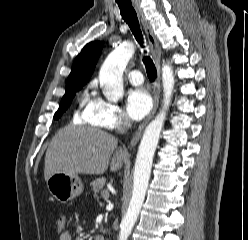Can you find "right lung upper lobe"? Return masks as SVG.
Returning <instances> with one entry per match:
<instances>
[{
  "mask_svg": "<svg viewBox=\"0 0 248 240\" xmlns=\"http://www.w3.org/2000/svg\"><path fill=\"white\" fill-rule=\"evenodd\" d=\"M102 48L103 42L93 41L88 43L75 58L67 82L79 81L85 85L94 71Z\"/></svg>",
  "mask_w": 248,
  "mask_h": 240,
  "instance_id": "obj_1",
  "label": "right lung upper lobe"
}]
</instances>
